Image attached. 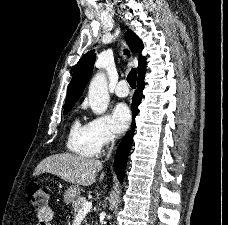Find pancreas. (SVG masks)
Wrapping results in <instances>:
<instances>
[{
  "label": "pancreas",
  "instance_id": "obj_1",
  "mask_svg": "<svg viewBox=\"0 0 228 225\" xmlns=\"http://www.w3.org/2000/svg\"><path fill=\"white\" fill-rule=\"evenodd\" d=\"M84 203H87L86 201V197H77V199H75V201H72V207H73V211L76 215V213H79L80 211V207H83ZM87 225V223H86Z\"/></svg>",
  "mask_w": 228,
  "mask_h": 225
}]
</instances>
